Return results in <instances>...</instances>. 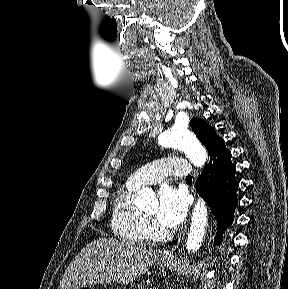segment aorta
I'll list each match as a JSON object with an SVG mask.
<instances>
[{"label": "aorta", "mask_w": 288, "mask_h": 289, "mask_svg": "<svg viewBox=\"0 0 288 289\" xmlns=\"http://www.w3.org/2000/svg\"><path fill=\"white\" fill-rule=\"evenodd\" d=\"M159 143L165 147L181 150L196 167H202L207 160L206 150L187 128L175 126L167 130L160 135ZM136 206L147 211H157L158 201L153 191L149 188L140 190L136 199ZM207 217V206L205 202L199 198L193 210L190 230L186 240V249L188 252H195L200 248L205 237Z\"/></svg>", "instance_id": "762f6f07"}]
</instances>
